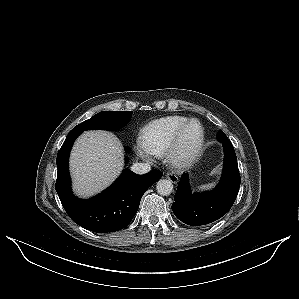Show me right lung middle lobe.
Masks as SVG:
<instances>
[{
	"instance_id": "right-lung-middle-lobe-1",
	"label": "right lung middle lobe",
	"mask_w": 299,
	"mask_h": 299,
	"mask_svg": "<svg viewBox=\"0 0 299 299\" xmlns=\"http://www.w3.org/2000/svg\"><path fill=\"white\" fill-rule=\"evenodd\" d=\"M132 115L131 111H104L74 127V131L84 130H118L126 125Z\"/></svg>"
}]
</instances>
